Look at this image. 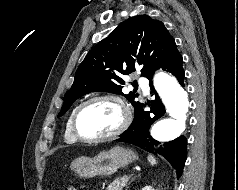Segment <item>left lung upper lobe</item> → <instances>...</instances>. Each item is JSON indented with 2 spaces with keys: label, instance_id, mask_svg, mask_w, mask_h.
<instances>
[{
  "label": "left lung upper lobe",
  "instance_id": "1",
  "mask_svg": "<svg viewBox=\"0 0 238 190\" xmlns=\"http://www.w3.org/2000/svg\"><path fill=\"white\" fill-rule=\"evenodd\" d=\"M176 51V43L162 22L148 15H137L122 22L80 64L58 117L78 98L96 91L121 94L135 109L140 104L136 101L137 94L122 93L125 82L121 75H128L141 66L142 76L150 78Z\"/></svg>",
  "mask_w": 238,
  "mask_h": 190
}]
</instances>
